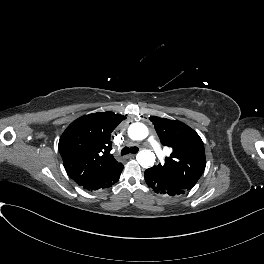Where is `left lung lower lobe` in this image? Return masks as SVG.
<instances>
[{
  "instance_id": "left-lung-lower-lobe-1",
  "label": "left lung lower lobe",
  "mask_w": 264,
  "mask_h": 264,
  "mask_svg": "<svg viewBox=\"0 0 264 264\" xmlns=\"http://www.w3.org/2000/svg\"><path fill=\"white\" fill-rule=\"evenodd\" d=\"M145 180L152 192L159 196L175 197L184 194L181 190L167 184L148 171L145 172Z\"/></svg>"
}]
</instances>
